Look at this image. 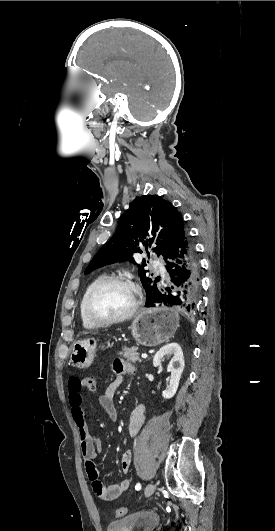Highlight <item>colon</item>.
<instances>
[{
    "label": "colon",
    "instance_id": "5ec220e1",
    "mask_svg": "<svg viewBox=\"0 0 275 531\" xmlns=\"http://www.w3.org/2000/svg\"><path fill=\"white\" fill-rule=\"evenodd\" d=\"M81 390L82 392H88L90 394H95L98 390V383L93 377H85V381H82L81 383ZM126 512V509L124 507H118L116 510V516L122 517L124 516Z\"/></svg>",
    "mask_w": 275,
    "mask_h": 531
}]
</instances>
